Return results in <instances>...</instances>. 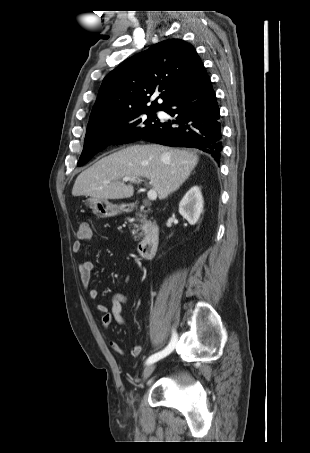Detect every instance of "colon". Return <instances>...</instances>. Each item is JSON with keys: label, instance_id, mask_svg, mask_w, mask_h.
Segmentation results:
<instances>
[{"label": "colon", "instance_id": "5ec220e1", "mask_svg": "<svg viewBox=\"0 0 310 453\" xmlns=\"http://www.w3.org/2000/svg\"><path fill=\"white\" fill-rule=\"evenodd\" d=\"M78 236L81 239H88L91 237V229L88 223L82 222L79 225Z\"/></svg>", "mask_w": 310, "mask_h": 453}]
</instances>
